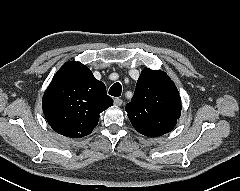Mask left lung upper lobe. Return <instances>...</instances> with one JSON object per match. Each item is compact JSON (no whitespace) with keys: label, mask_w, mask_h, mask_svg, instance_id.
Returning a JSON list of instances; mask_svg holds the SVG:
<instances>
[{"label":"left lung upper lobe","mask_w":240,"mask_h":191,"mask_svg":"<svg viewBox=\"0 0 240 191\" xmlns=\"http://www.w3.org/2000/svg\"><path fill=\"white\" fill-rule=\"evenodd\" d=\"M181 109L174 82L165 72L148 68L142 70L134 96L125 107L133 127L150 137L170 132L177 124Z\"/></svg>","instance_id":"obj_1"}]
</instances>
